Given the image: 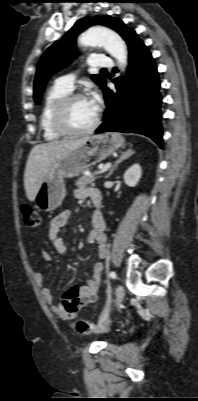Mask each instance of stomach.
<instances>
[{
	"mask_svg": "<svg viewBox=\"0 0 198 401\" xmlns=\"http://www.w3.org/2000/svg\"><path fill=\"white\" fill-rule=\"evenodd\" d=\"M123 145L124 138L119 133L93 135L83 145L57 159L37 192L36 206L46 212L58 208L66 196L65 178L78 176L88 166L106 159Z\"/></svg>",
	"mask_w": 198,
	"mask_h": 401,
	"instance_id": "0dacf381",
	"label": "stomach"
}]
</instances>
